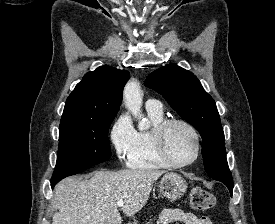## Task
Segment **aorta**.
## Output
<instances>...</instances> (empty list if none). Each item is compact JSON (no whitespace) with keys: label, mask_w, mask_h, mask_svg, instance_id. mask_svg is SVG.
Masks as SVG:
<instances>
[{"label":"aorta","mask_w":275,"mask_h":224,"mask_svg":"<svg viewBox=\"0 0 275 224\" xmlns=\"http://www.w3.org/2000/svg\"><path fill=\"white\" fill-rule=\"evenodd\" d=\"M124 103L126 108L135 118H138V128L145 130L149 128V122L142 116V92L137 81H129L124 89Z\"/></svg>","instance_id":"aorta-1"}]
</instances>
